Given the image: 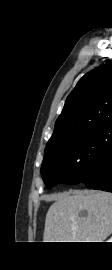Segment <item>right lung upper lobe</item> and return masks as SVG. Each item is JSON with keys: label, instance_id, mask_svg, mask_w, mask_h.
<instances>
[{"label": "right lung upper lobe", "instance_id": "obj_1", "mask_svg": "<svg viewBox=\"0 0 112 270\" xmlns=\"http://www.w3.org/2000/svg\"><path fill=\"white\" fill-rule=\"evenodd\" d=\"M112 123V60L88 72L67 97L46 149Z\"/></svg>", "mask_w": 112, "mask_h": 270}]
</instances>
